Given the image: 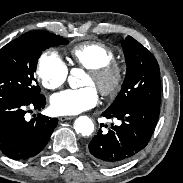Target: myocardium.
Instances as JSON below:
<instances>
[{
	"label": "myocardium",
	"mask_w": 183,
	"mask_h": 183,
	"mask_svg": "<svg viewBox=\"0 0 183 183\" xmlns=\"http://www.w3.org/2000/svg\"><path fill=\"white\" fill-rule=\"evenodd\" d=\"M88 74L93 78L96 88L103 96H113L123 85L126 68L119 62L111 61L90 69Z\"/></svg>",
	"instance_id": "1"
}]
</instances>
